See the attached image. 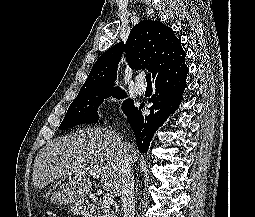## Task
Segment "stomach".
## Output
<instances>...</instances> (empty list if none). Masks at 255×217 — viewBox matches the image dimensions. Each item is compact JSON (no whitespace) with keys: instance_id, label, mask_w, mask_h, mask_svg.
Listing matches in <instances>:
<instances>
[{"instance_id":"obj_1","label":"stomach","mask_w":255,"mask_h":217,"mask_svg":"<svg viewBox=\"0 0 255 217\" xmlns=\"http://www.w3.org/2000/svg\"><path fill=\"white\" fill-rule=\"evenodd\" d=\"M69 211L74 215H83L87 212V203L86 202H77L69 206Z\"/></svg>"}]
</instances>
